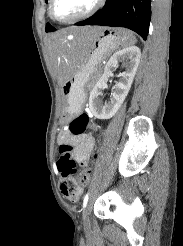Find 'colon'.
Returning <instances> with one entry per match:
<instances>
[{
    "mask_svg": "<svg viewBox=\"0 0 183 246\" xmlns=\"http://www.w3.org/2000/svg\"><path fill=\"white\" fill-rule=\"evenodd\" d=\"M91 120L87 114L76 116L70 123V131L75 135H82L87 132ZM71 147L62 144L59 149V159L57 162L58 170L61 175L60 189L63 196L72 202L80 199L83 187L89 181L90 171L88 169L80 170L75 161L70 156Z\"/></svg>",
    "mask_w": 183,
    "mask_h": 246,
    "instance_id": "1",
    "label": "colon"
}]
</instances>
